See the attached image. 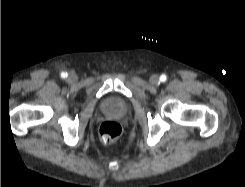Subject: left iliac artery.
Listing matches in <instances>:
<instances>
[{
    "label": "left iliac artery",
    "mask_w": 245,
    "mask_h": 187,
    "mask_svg": "<svg viewBox=\"0 0 245 187\" xmlns=\"http://www.w3.org/2000/svg\"><path fill=\"white\" fill-rule=\"evenodd\" d=\"M166 79H167L166 75L163 74L160 76V81L165 82Z\"/></svg>",
    "instance_id": "left-iliac-artery-1"
}]
</instances>
